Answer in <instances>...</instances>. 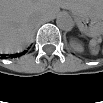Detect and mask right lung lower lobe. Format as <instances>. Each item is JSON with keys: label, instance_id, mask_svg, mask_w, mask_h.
<instances>
[{"label": "right lung lower lobe", "instance_id": "1", "mask_svg": "<svg viewBox=\"0 0 103 103\" xmlns=\"http://www.w3.org/2000/svg\"><path fill=\"white\" fill-rule=\"evenodd\" d=\"M22 54H23V53H20V55H22ZM16 55H18V54H16ZM16 55H15V56H16Z\"/></svg>", "mask_w": 103, "mask_h": 103}]
</instances>
